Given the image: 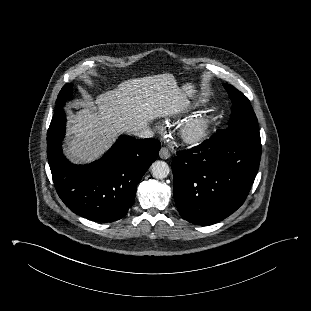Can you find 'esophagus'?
<instances>
[{"label":"esophagus","instance_id":"34e87169","mask_svg":"<svg viewBox=\"0 0 311 311\" xmlns=\"http://www.w3.org/2000/svg\"><path fill=\"white\" fill-rule=\"evenodd\" d=\"M159 156L162 159H168L171 156V154H170L169 150L166 147H162L160 149Z\"/></svg>","mask_w":311,"mask_h":311}]
</instances>
